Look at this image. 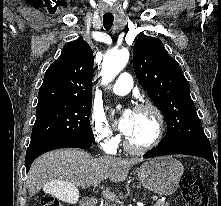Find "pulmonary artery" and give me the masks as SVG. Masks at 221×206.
Masks as SVG:
<instances>
[{
    "mask_svg": "<svg viewBox=\"0 0 221 206\" xmlns=\"http://www.w3.org/2000/svg\"><path fill=\"white\" fill-rule=\"evenodd\" d=\"M133 86V79L129 73H121L114 84L112 91L116 95H126Z\"/></svg>",
    "mask_w": 221,
    "mask_h": 206,
    "instance_id": "pulmonary-artery-1",
    "label": "pulmonary artery"
}]
</instances>
